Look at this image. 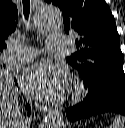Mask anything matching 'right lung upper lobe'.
I'll use <instances>...</instances> for the list:
<instances>
[{
  "label": "right lung upper lobe",
  "instance_id": "1",
  "mask_svg": "<svg viewBox=\"0 0 125 128\" xmlns=\"http://www.w3.org/2000/svg\"><path fill=\"white\" fill-rule=\"evenodd\" d=\"M18 11L11 0H0V52L6 48L5 39L15 30Z\"/></svg>",
  "mask_w": 125,
  "mask_h": 128
}]
</instances>
